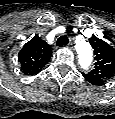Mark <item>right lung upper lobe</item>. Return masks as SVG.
<instances>
[{
  "mask_svg": "<svg viewBox=\"0 0 115 119\" xmlns=\"http://www.w3.org/2000/svg\"><path fill=\"white\" fill-rule=\"evenodd\" d=\"M52 54L51 46L35 35L18 54L21 71L26 75H36L48 63Z\"/></svg>",
  "mask_w": 115,
  "mask_h": 119,
  "instance_id": "1",
  "label": "right lung upper lobe"
}]
</instances>
